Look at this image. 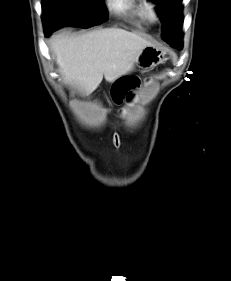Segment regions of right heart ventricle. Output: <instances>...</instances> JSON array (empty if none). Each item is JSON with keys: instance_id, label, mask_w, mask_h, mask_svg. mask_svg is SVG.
Wrapping results in <instances>:
<instances>
[{"instance_id": "e07e8e85", "label": "right heart ventricle", "mask_w": 231, "mask_h": 281, "mask_svg": "<svg viewBox=\"0 0 231 281\" xmlns=\"http://www.w3.org/2000/svg\"><path fill=\"white\" fill-rule=\"evenodd\" d=\"M107 6L116 15L141 23L146 19L142 0H107Z\"/></svg>"}]
</instances>
